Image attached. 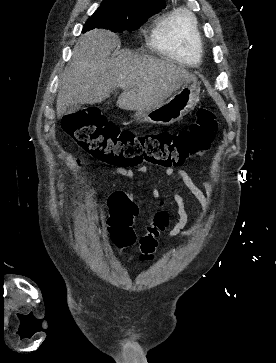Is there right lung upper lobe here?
<instances>
[{"label":"right lung upper lobe","instance_id":"1","mask_svg":"<svg viewBox=\"0 0 276 363\" xmlns=\"http://www.w3.org/2000/svg\"><path fill=\"white\" fill-rule=\"evenodd\" d=\"M102 3L122 5V6L136 5V4H142L154 7L165 6V2L163 0H104Z\"/></svg>","mask_w":276,"mask_h":363}]
</instances>
